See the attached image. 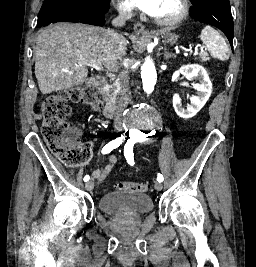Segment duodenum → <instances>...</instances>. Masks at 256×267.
Wrapping results in <instances>:
<instances>
[{"label": "duodenum", "instance_id": "410a0bca", "mask_svg": "<svg viewBox=\"0 0 256 267\" xmlns=\"http://www.w3.org/2000/svg\"><path fill=\"white\" fill-rule=\"evenodd\" d=\"M92 84L101 96V98L104 100V117L112 118L117 113L120 104L111 95L107 79L103 76H98L92 80Z\"/></svg>", "mask_w": 256, "mask_h": 267}]
</instances>
